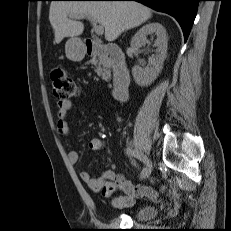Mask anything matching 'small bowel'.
Wrapping results in <instances>:
<instances>
[{
  "mask_svg": "<svg viewBox=\"0 0 231 231\" xmlns=\"http://www.w3.org/2000/svg\"><path fill=\"white\" fill-rule=\"evenodd\" d=\"M70 109V101L58 102L57 131L64 137L70 134L68 122ZM88 148L91 152H98L104 148V141L98 137L92 138L89 141ZM67 156L71 164H78L80 156L77 151L69 150ZM79 175L92 191L111 198L112 205L119 208L132 206L138 198L148 197L155 199L166 189L165 185L161 186L158 191L150 186L142 184L134 185L121 174L111 169L104 170L98 177H93L86 171H81ZM119 190L122 191L123 194L116 196L115 194Z\"/></svg>",
  "mask_w": 231,
  "mask_h": 231,
  "instance_id": "c3829d8e",
  "label": "small bowel"
}]
</instances>
